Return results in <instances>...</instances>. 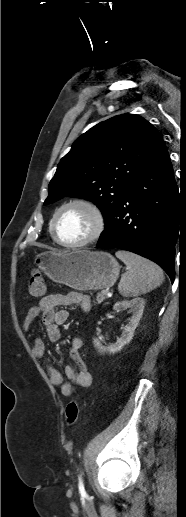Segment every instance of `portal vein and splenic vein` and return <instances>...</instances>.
I'll return each instance as SVG.
<instances>
[{
	"instance_id": "18ae733b",
	"label": "portal vein and splenic vein",
	"mask_w": 186,
	"mask_h": 517,
	"mask_svg": "<svg viewBox=\"0 0 186 517\" xmlns=\"http://www.w3.org/2000/svg\"><path fill=\"white\" fill-rule=\"evenodd\" d=\"M103 293H105V294H106V295H108V296H111V293H109V291H108V290H103Z\"/></svg>"
}]
</instances>
